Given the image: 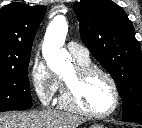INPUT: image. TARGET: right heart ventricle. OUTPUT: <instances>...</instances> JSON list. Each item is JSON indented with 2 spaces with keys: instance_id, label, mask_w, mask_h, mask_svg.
<instances>
[{
  "instance_id": "obj_1",
  "label": "right heart ventricle",
  "mask_w": 142,
  "mask_h": 128,
  "mask_svg": "<svg viewBox=\"0 0 142 128\" xmlns=\"http://www.w3.org/2000/svg\"><path fill=\"white\" fill-rule=\"evenodd\" d=\"M77 62H78L79 65H90V60H88V61H78L77 60Z\"/></svg>"
}]
</instances>
